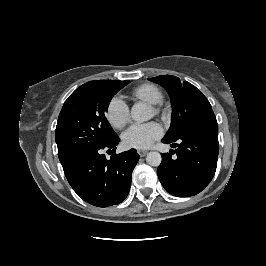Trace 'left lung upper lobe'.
Returning <instances> with one entry per match:
<instances>
[{"label":"left lung upper lobe","instance_id":"obj_1","mask_svg":"<svg viewBox=\"0 0 266 266\" xmlns=\"http://www.w3.org/2000/svg\"><path fill=\"white\" fill-rule=\"evenodd\" d=\"M149 80L160 84L170 95L171 125L163 139L176 140L195 126L216 121L208 99L194 85L172 75H161Z\"/></svg>","mask_w":266,"mask_h":266}]
</instances>
